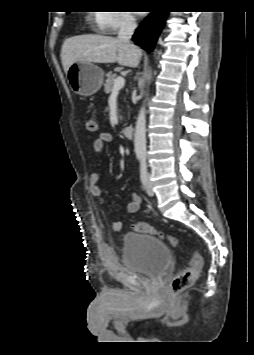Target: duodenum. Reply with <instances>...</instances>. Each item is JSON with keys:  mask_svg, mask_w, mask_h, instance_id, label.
Here are the masks:
<instances>
[{"mask_svg": "<svg viewBox=\"0 0 254 355\" xmlns=\"http://www.w3.org/2000/svg\"><path fill=\"white\" fill-rule=\"evenodd\" d=\"M123 134L127 137V138H131L134 134V128L132 125H126L123 127Z\"/></svg>", "mask_w": 254, "mask_h": 355, "instance_id": "410a0bca", "label": "duodenum"}]
</instances>
